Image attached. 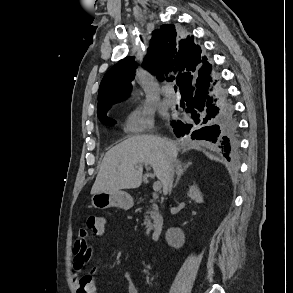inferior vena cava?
I'll return each instance as SVG.
<instances>
[{
    "mask_svg": "<svg viewBox=\"0 0 293 293\" xmlns=\"http://www.w3.org/2000/svg\"><path fill=\"white\" fill-rule=\"evenodd\" d=\"M173 177H174V165L170 164L164 183H163L164 190L168 192L169 194H171L172 187H173Z\"/></svg>",
    "mask_w": 293,
    "mask_h": 293,
    "instance_id": "602c4592",
    "label": "inferior vena cava"
}]
</instances>
